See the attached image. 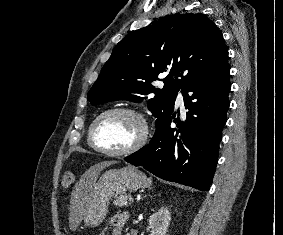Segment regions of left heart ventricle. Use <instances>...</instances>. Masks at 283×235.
<instances>
[{
  "label": "left heart ventricle",
  "instance_id": "obj_1",
  "mask_svg": "<svg viewBox=\"0 0 283 235\" xmlns=\"http://www.w3.org/2000/svg\"><path fill=\"white\" fill-rule=\"evenodd\" d=\"M141 132L139 121L127 113L105 116L95 128V142L101 148L117 151L131 146Z\"/></svg>",
  "mask_w": 283,
  "mask_h": 235
}]
</instances>
